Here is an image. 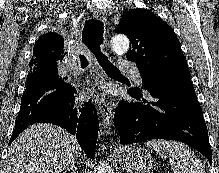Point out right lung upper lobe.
Returning a JSON list of instances; mask_svg holds the SVG:
<instances>
[{
    "mask_svg": "<svg viewBox=\"0 0 219 173\" xmlns=\"http://www.w3.org/2000/svg\"><path fill=\"white\" fill-rule=\"evenodd\" d=\"M63 37L57 33L42 35L34 45L30 66L60 63L64 57Z\"/></svg>",
    "mask_w": 219,
    "mask_h": 173,
    "instance_id": "1",
    "label": "right lung upper lobe"
}]
</instances>
